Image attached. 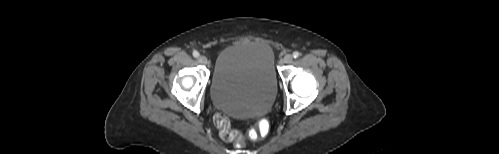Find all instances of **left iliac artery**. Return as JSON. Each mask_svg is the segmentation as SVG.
I'll use <instances>...</instances> for the list:
<instances>
[{"label": "left iliac artery", "mask_w": 499, "mask_h": 154, "mask_svg": "<svg viewBox=\"0 0 499 154\" xmlns=\"http://www.w3.org/2000/svg\"><path fill=\"white\" fill-rule=\"evenodd\" d=\"M299 55H300V53H299L298 51H295V52H293V54H292V56H293L294 58H298V57H299Z\"/></svg>", "instance_id": "obj_1"}]
</instances>
